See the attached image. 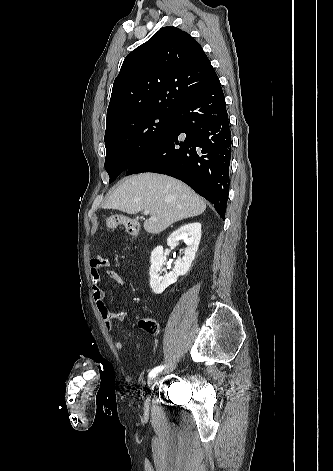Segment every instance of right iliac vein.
<instances>
[{
    "label": "right iliac vein",
    "instance_id": "obj_1",
    "mask_svg": "<svg viewBox=\"0 0 333 471\" xmlns=\"http://www.w3.org/2000/svg\"><path fill=\"white\" fill-rule=\"evenodd\" d=\"M158 375H155V376H152L149 381H148V385L149 387L153 386L154 383H156V381L158 380ZM150 389V388H149ZM146 404L148 405L149 404V400L147 399L146 400Z\"/></svg>",
    "mask_w": 333,
    "mask_h": 471
}]
</instances>
